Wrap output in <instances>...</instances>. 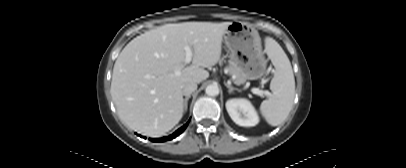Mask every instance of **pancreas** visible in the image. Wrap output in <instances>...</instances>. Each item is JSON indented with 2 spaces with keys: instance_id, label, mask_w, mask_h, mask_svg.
<instances>
[{
  "instance_id": "1",
  "label": "pancreas",
  "mask_w": 406,
  "mask_h": 168,
  "mask_svg": "<svg viewBox=\"0 0 406 168\" xmlns=\"http://www.w3.org/2000/svg\"><path fill=\"white\" fill-rule=\"evenodd\" d=\"M226 70L229 75L235 76L234 82L236 84H243L245 82L238 68L229 66L226 68Z\"/></svg>"
}]
</instances>
